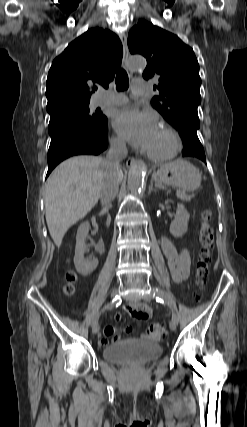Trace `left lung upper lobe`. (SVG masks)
Instances as JSON below:
<instances>
[{
	"label": "left lung upper lobe",
	"mask_w": 247,
	"mask_h": 427,
	"mask_svg": "<svg viewBox=\"0 0 247 427\" xmlns=\"http://www.w3.org/2000/svg\"><path fill=\"white\" fill-rule=\"evenodd\" d=\"M128 47L132 54L146 57L143 77L159 80L154 86L159 95L151 100L152 106L177 130H198L201 79L193 49L176 35L145 21L129 32Z\"/></svg>",
	"instance_id": "5c2ea615"
}]
</instances>
